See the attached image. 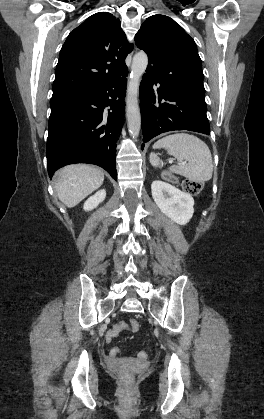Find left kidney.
<instances>
[{"label":"left kidney","instance_id":"left-kidney-1","mask_svg":"<svg viewBox=\"0 0 264 419\" xmlns=\"http://www.w3.org/2000/svg\"><path fill=\"white\" fill-rule=\"evenodd\" d=\"M151 191L158 208L175 223L185 225L192 218L194 200L189 194L160 180L152 182Z\"/></svg>","mask_w":264,"mask_h":419}]
</instances>
